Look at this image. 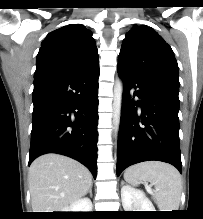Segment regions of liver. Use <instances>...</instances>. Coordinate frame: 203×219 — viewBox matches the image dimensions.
Listing matches in <instances>:
<instances>
[{"mask_svg":"<svg viewBox=\"0 0 203 219\" xmlns=\"http://www.w3.org/2000/svg\"><path fill=\"white\" fill-rule=\"evenodd\" d=\"M28 181L33 212H62L86 195L92 175L72 158L45 154L31 164Z\"/></svg>","mask_w":203,"mask_h":219,"instance_id":"1","label":"liver"}]
</instances>
